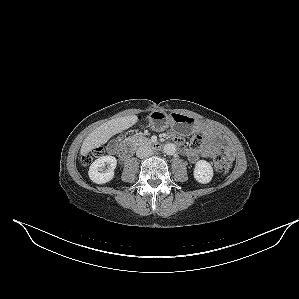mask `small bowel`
Masks as SVG:
<instances>
[{
    "mask_svg": "<svg viewBox=\"0 0 299 299\" xmlns=\"http://www.w3.org/2000/svg\"><path fill=\"white\" fill-rule=\"evenodd\" d=\"M203 135H204L203 150L197 151L192 148H185V147L181 148V153L187 156V158L193 163L200 158H213L214 152H216L218 149V145L220 142V135L217 131L213 129H204ZM172 139L178 145L183 144V139L175 133L172 134ZM223 149L228 159L232 160L233 151L231 147L228 144H223Z\"/></svg>",
    "mask_w": 299,
    "mask_h": 299,
    "instance_id": "small-bowel-1",
    "label": "small bowel"
}]
</instances>
